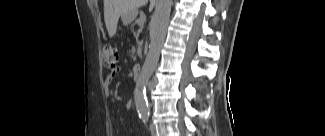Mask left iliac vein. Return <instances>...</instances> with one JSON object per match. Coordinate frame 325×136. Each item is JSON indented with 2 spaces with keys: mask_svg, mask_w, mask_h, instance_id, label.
I'll return each instance as SVG.
<instances>
[{
  "mask_svg": "<svg viewBox=\"0 0 325 136\" xmlns=\"http://www.w3.org/2000/svg\"><path fill=\"white\" fill-rule=\"evenodd\" d=\"M150 131H151V134H152L153 136L156 135V129H155V126H154L153 124L150 125Z\"/></svg>",
  "mask_w": 325,
  "mask_h": 136,
  "instance_id": "1",
  "label": "left iliac vein"
}]
</instances>
